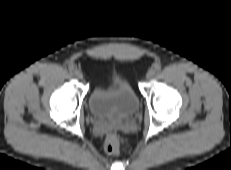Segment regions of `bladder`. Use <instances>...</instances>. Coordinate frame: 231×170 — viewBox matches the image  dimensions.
Instances as JSON below:
<instances>
[{"mask_svg": "<svg viewBox=\"0 0 231 170\" xmlns=\"http://www.w3.org/2000/svg\"><path fill=\"white\" fill-rule=\"evenodd\" d=\"M138 97L128 81L113 77L94 86L88 99L92 116L99 121H114L132 116L138 109Z\"/></svg>", "mask_w": 231, "mask_h": 170, "instance_id": "bladder-1", "label": "bladder"}]
</instances>
